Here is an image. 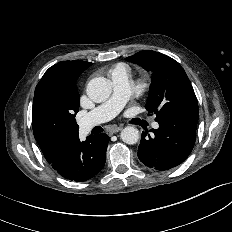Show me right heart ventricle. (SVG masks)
Returning a JSON list of instances; mask_svg holds the SVG:
<instances>
[{"label": "right heart ventricle", "mask_w": 232, "mask_h": 232, "mask_svg": "<svg viewBox=\"0 0 232 232\" xmlns=\"http://www.w3.org/2000/svg\"><path fill=\"white\" fill-rule=\"evenodd\" d=\"M118 67L126 68V66H125L124 64H119V65H117L115 68H118ZM115 68H114V69H115Z\"/></svg>", "instance_id": "right-heart-ventricle-1"}]
</instances>
